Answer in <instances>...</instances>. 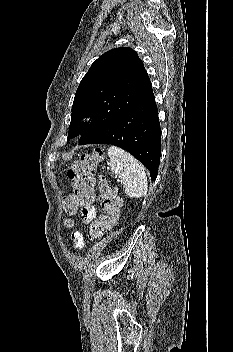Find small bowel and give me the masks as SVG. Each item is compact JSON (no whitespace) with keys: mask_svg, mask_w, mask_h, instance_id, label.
Wrapping results in <instances>:
<instances>
[{"mask_svg":"<svg viewBox=\"0 0 233 352\" xmlns=\"http://www.w3.org/2000/svg\"><path fill=\"white\" fill-rule=\"evenodd\" d=\"M96 215V210L92 205H89L87 207H83L82 213H81V218L84 223H89L94 219ZM72 239L74 242V247L75 249H81L84 245V238L83 235L76 231L72 234Z\"/></svg>","mask_w":233,"mask_h":352,"instance_id":"small-bowel-1","label":"small bowel"}]
</instances>
